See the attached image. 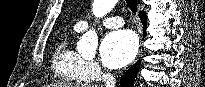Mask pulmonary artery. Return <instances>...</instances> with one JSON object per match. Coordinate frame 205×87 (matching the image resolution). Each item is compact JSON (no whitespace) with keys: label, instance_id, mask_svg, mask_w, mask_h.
Listing matches in <instances>:
<instances>
[{"label":"pulmonary artery","instance_id":"e3ab8cb5","mask_svg":"<svg viewBox=\"0 0 205 87\" xmlns=\"http://www.w3.org/2000/svg\"><path fill=\"white\" fill-rule=\"evenodd\" d=\"M101 23L103 26L113 29V28L122 27L124 25V20L120 16H112V17H106L102 19ZM89 24H90L89 20L82 19L76 23L75 28L78 31H83L88 28Z\"/></svg>","mask_w":205,"mask_h":87}]
</instances>
